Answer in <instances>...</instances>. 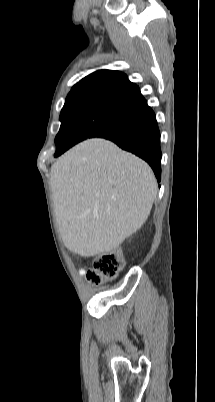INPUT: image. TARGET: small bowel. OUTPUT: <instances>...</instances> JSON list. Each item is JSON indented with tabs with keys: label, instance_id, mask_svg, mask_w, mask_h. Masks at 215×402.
I'll use <instances>...</instances> for the list:
<instances>
[{
	"label": "small bowel",
	"instance_id": "1",
	"mask_svg": "<svg viewBox=\"0 0 215 402\" xmlns=\"http://www.w3.org/2000/svg\"><path fill=\"white\" fill-rule=\"evenodd\" d=\"M80 272L83 274V273H84V270H81Z\"/></svg>",
	"mask_w": 215,
	"mask_h": 402
}]
</instances>
